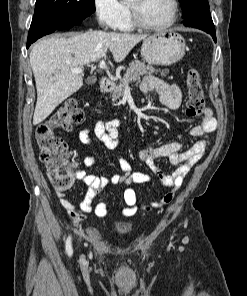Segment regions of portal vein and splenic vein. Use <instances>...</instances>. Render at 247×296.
<instances>
[{
    "mask_svg": "<svg viewBox=\"0 0 247 296\" xmlns=\"http://www.w3.org/2000/svg\"><path fill=\"white\" fill-rule=\"evenodd\" d=\"M98 67L100 69H106L107 65H106L104 60H100V63L98 64ZM71 71H72V73H82L83 72V70L81 68H74ZM125 89H129L128 85H126Z\"/></svg>",
    "mask_w": 247,
    "mask_h": 296,
    "instance_id": "18ae733b",
    "label": "portal vein and splenic vein"
}]
</instances>
